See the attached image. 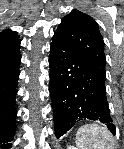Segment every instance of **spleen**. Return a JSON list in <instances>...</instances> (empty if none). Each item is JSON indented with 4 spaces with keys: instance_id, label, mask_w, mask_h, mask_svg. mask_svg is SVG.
<instances>
[{
    "instance_id": "spleen-1",
    "label": "spleen",
    "mask_w": 124,
    "mask_h": 149,
    "mask_svg": "<svg viewBox=\"0 0 124 149\" xmlns=\"http://www.w3.org/2000/svg\"><path fill=\"white\" fill-rule=\"evenodd\" d=\"M110 135L107 130L91 124L77 131L76 145L79 149H113L109 144Z\"/></svg>"
}]
</instances>
